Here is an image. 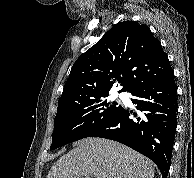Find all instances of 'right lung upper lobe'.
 Instances as JSON below:
<instances>
[{
    "label": "right lung upper lobe",
    "instance_id": "1",
    "mask_svg": "<svg viewBox=\"0 0 194 178\" xmlns=\"http://www.w3.org/2000/svg\"><path fill=\"white\" fill-rule=\"evenodd\" d=\"M172 72L168 56L148 26L120 22L75 61L57 111L108 95L117 83L124 86L119 92L131 93Z\"/></svg>",
    "mask_w": 194,
    "mask_h": 178
}]
</instances>
